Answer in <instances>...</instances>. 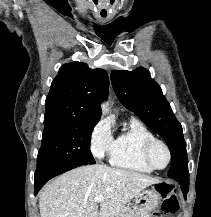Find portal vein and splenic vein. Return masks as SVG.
Segmentation results:
<instances>
[{"mask_svg": "<svg viewBox=\"0 0 211 217\" xmlns=\"http://www.w3.org/2000/svg\"><path fill=\"white\" fill-rule=\"evenodd\" d=\"M102 200H103V196H97L94 198L95 203H100V202H102Z\"/></svg>", "mask_w": 211, "mask_h": 217, "instance_id": "obj_1", "label": "portal vein and splenic vein"}]
</instances>
